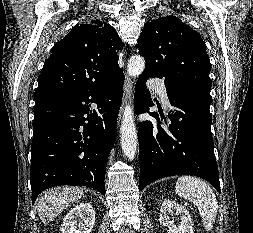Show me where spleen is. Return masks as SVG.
Wrapping results in <instances>:
<instances>
[{"label": "spleen", "instance_id": "spleen-1", "mask_svg": "<svg viewBox=\"0 0 253 233\" xmlns=\"http://www.w3.org/2000/svg\"><path fill=\"white\" fill-rule=\"evenodd\" d=\"M175 190L178 196L196 204L203 227L210 231L218 211L217 198L210 186L196 177L181 176L176 182Z\"/></svg>", "mask_w": 253, "mask_h": 233}]
</instances>
